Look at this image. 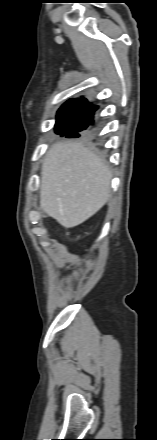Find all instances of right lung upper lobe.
<instances>
[{"label":"right lung upper lobe","instance_id":"right-lung-upper-lobe-1","mask_svg":"<svg viewBox=\"0 0 157 440\" xmlns=\"http://www.w3.org/2000/svg\"><path fill=\"white\" fill-rule=\"evenodd\" d=\"M97 108L85 98H72L58 110L57 121H77L87 127L93 121V113Z\"/></svg>","mask_w":157,"mask_h":440}]
</instances>
